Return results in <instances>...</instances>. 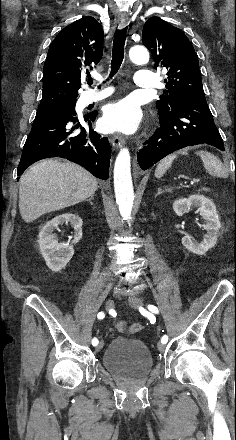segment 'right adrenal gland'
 <instances>
[{
  "mask_svg": "<svg viewBox=\"0 0 236 440\" xmlns=\"http://www.w3.org/2000/svg\"><path fill=\"white\" fill-rule=\"evenodd\" d=\"M92 200H93V196H91V197H90L89 199H87L86 201H89L90 204L92 205V204H93Z\"/></svg>",
  "mask_w": 236,
  "mask_h": 440,
  "instance_id": "1",
  "label": "right adrenal gland"
}]
</instances>
